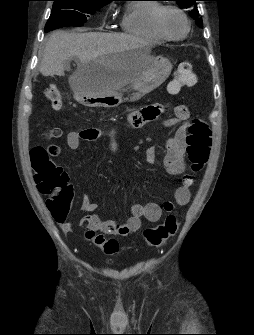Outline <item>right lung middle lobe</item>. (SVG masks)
<instances>
[{
    "instance_id": "right-lung-middle-lobe-1",
    "label": "right lung middle lobe",
    "mask_w": 254,
    "mask_h": 335,
    "mask_svg": "<svg viewBox=\"0 0 254 335\" xmlns=\"http://www.w3.org/2000/svg\"><path fill=\"white\" fill-rule=\"evenodd\" d=\"M54 1L51 15L46 23L45 32L65 27L82 26L89 14L109 2L99 0H52Z\"/></svg>"
}]
</instances>
